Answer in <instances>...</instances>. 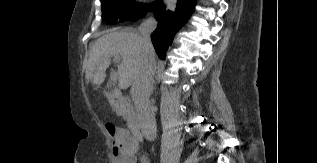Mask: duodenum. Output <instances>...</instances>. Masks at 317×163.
Wrapping results in <instances>:
<instances>
[{
    "instance_id": "duodenum-1",
    "label": "duodenum",
    "mask_w": 317,
    "mask_h": 163,
    "mask_svg": "<svg viewBox=\"0 0 317 163\" xmlns=\"http://www.w3.org/2000/svg\"><path fill=\"white\" fill-rule=\"evenodd\" d=\"M107 97L110 103L117 108L120 112L124 113L127 116L130 131L133 136V141L135 145L138 146L139 140L142 138V129L138 119L131 114L130 105L124 95L116 91H109L107 93ZM118 145L120 147V142L118 141Z\"/></svg>"
}]
</instances>
